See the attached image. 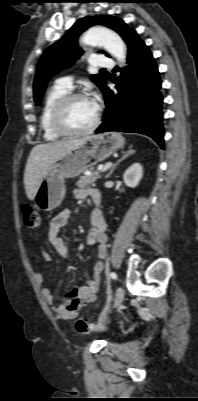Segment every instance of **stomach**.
I'll list each match as a JSON object with an SVG mask.
<instances>
[{
  "mask_svg": "<svg viewBox=\"0 0 198 401\" xmlns=\"http://www.w3.org/2000/svg\"><path fill=\"white\" fill-rule=\"evenodd\" d=\"M124 143V137L117 132L92 135L82 145L56 159L35 195L36 206L43 211L57 208L66 194V178L79 176L89 166L105 160L122 148Z\"/></svg>",
  "mask_w": 198,
  "mask_h": 401,
  "instance_id": "obj_1",
  "label": "stomach"
}]
</instances>
